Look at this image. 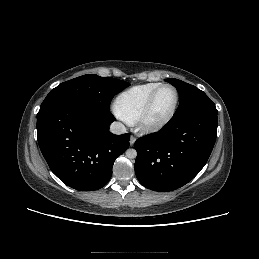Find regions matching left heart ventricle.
Instances as JSON below:
<instances>
[{
	"mask_svg": "<svg viewBox=\"0 0 259 259\" xmlns=\"http://www.w3.org/2000/svg\"><path fill=\"white\" fill-rule=\"evenodd\" d=\"M174 99H175V95L172 89L170 88L161 89L156 96V99L152 108L151 118L156 120L165 116L172 108Z\"/></svg>",
	"mask_w": 259,
	"mask_h": 259,
	"instance_id": "b2bd125f",
	"label": "left heart ventricle"
}]
</instances>
